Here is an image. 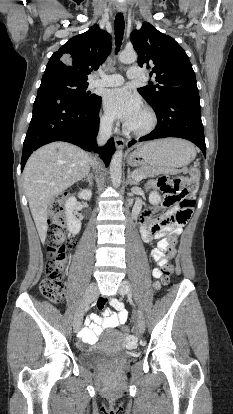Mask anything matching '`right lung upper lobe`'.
<instances>
[{
  "label": "right lung upper lobe",
  "mask_w": 233,
  "mask_h": 414,
  "mask_svg": "<svg viewBox=\"0 0 233 414\" xmlns=\"http://www.w3.org/2000/svg\"><path fill=\"white\" fill-rule=\"evenodd\" d=\"M110 51V34L93 25L87 32L71 38L51 56L43 76H62L87 82V75L99 68Z\"/></svg>",
  "instance_id": "1"
}]
</instances>
